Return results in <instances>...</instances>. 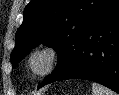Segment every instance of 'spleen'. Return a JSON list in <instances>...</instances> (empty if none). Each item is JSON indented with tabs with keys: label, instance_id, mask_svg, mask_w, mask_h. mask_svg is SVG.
I'll list each match as a JSON object with an SVG mask.
<instances>
[{
	"label": "spleen",
	"instance_id": "obj_1",
	"mask_svg": "<svg viewBox=\"0 0 119 95\" xmlns=\"http://www.w3.org/2000/svg\"><path fill=\"white\" fill-rule=\"evenodd\" d=\"M92 94L93 95H117L114 91L109 88L97 84L95 82L92 83Z\"/></svg>",
	"mask_w": 119,
	"mask_h": 95
}]
</instances>
